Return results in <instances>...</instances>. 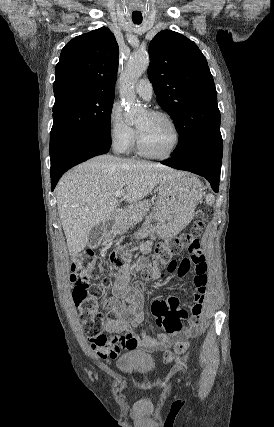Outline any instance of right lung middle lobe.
I'll list each match as a JSON object with an SVG mask.
<instances>
[{
  "mask_svg": "<svg viewBox=\"0 0 274 427\" xmlns=\"http://www.w3.org/2000/svg\"><path fill=\"white\" fill-rule=\"evenodd\" d=\"M114 95L68 96L53 107L50 157L64 145L86 136L111 137Z\"/></svg>",
  "mask_w": 274,
  "mask_h": 427,
  "instance_id": "dd1d6c3e",
  "label": "right lung middle lobe"
}]
</instances>
